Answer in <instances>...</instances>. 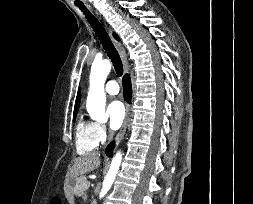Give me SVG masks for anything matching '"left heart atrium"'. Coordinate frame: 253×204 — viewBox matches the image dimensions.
I'll return each mask as SVG.
<instances>
[{
  "label": "left heart atrium",
  "mask_w": 253,
  "mask_h": 204,
  "mask_svg": "<svg viewBox=\"0 0 253 204\" xmlns=\"http://www.w3.org/2000/svg\"><path fill=\"white\" fill-rule=\"evenodd\" d=\"M125 114V108L120 101L114 100L109 103L107 106V115L109 119V125L112 130H117L121 127L125 119Z\"/></svg>",
  "instance_id": "left-heart-atrium-1"
}]
</instances>
